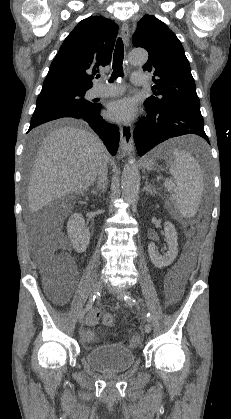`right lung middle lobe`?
I'll use <instances>...</instances> for the list:
<instances>
[{
	"instance_id": "obj_1",
	"label": "right lung middle lobe",
	"mask_w": 231,
	"mask_h": 419,
	"mask_svg": "<svg viewBox=\"0 0 231 419\" xmlns=\"http://www.w3.org/2000/svg\"><path fill=\"white\" fill-rule=\"evenodd\" d=\"M86 90L65 85H50L42 88L36 105L63 103L74 106L88 107L91 102L84 99Z\"/></svg>"
}]
</instances>
